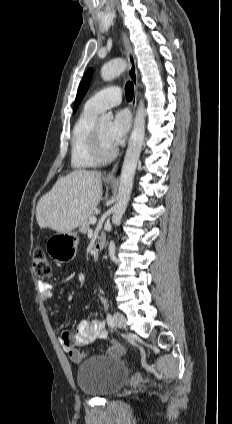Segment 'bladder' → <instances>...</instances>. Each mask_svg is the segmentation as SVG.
Returning <instances> with one entry per match:
<instances>
[{
    "label": "bladder",
    "instance_id": "obj_1",
    "mask_svg": "<svg viewBox=\"0 0 232 424\" xmlns=\"http://www.w3.org/2000/svg\"><path fill=\"white\" fill-rule=\"evenodd\" d=\"M130 371L120 360L91 357L77 369L78 388L86 395L104 398L118 392L127 382Z\"/></svg>",
    "mask_w": 232,
    "mask_h": 424
}]
</instances>
